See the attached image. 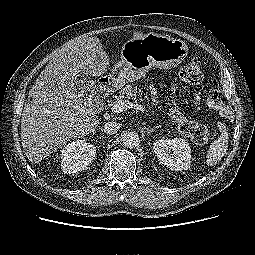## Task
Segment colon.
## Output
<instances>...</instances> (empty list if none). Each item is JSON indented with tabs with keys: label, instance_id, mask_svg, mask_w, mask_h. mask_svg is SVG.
<instances>
[{
	"label": "colon",
	"instance_id": "obj_1",
	"mask_svg": "<svg viewBox=\"0 0 255 255\" xmlns=\"http://www.w3.org/2000/svg\"><path fill=\"white\" fill-rule=\"evenodd\" d=\"M202 78L201 59L199 57H193L179 72V79L184 84H199ZM219 104L218 96H210L208 105L216 107ZM171 116L182 135L191 138L196 143H205L209 140L208 129L201 124L188 120L180 109H174Z\"/></svg>",
	"mask_w": 255,
	"mask_h": 255
}]
</instances>
